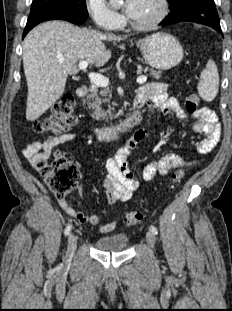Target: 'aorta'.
Returning a JSON list of instances; mask_svg holds the SVG:
<instances>
[{
	"mask_svg": "<svg viewBox=\"0 0 232 311\" xmlns=\"http://www.w3.org/2000/svg\"><path fill=\"white\" fill-rule=\"evenodd\" d=\"M120 1L121 0H109L110 4L113 5V6L119 4Z\"/></svg>",
	"mask_w": 232,
	"mask_h": 311,
	"instance_id": "1",
	"label": "aorta"
}]
</instances>
